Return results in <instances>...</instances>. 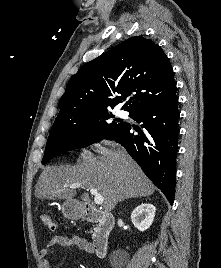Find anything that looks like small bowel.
I'll return each mask as SVG.
<instances>
[{
    "instance_id": "obj_1",
    "label": "small bowel",
    "mask_w": 221,
    "mask_h": 268,
    "mask_svg": "<svg viewBox=\"0 0 221 268\" xmlns=\"http://www.w3.org/2000/svg\"><path fill=\"white\" fill-rule=\"evenodd\" d=\"M55 247L80 249V250H84L85 252L89 254L94 252L92 244L87 239L81 236L54 235L46 244V246L43 247L39 252L42 268H52V265L48 256L51 250Z\"/></svg>"
}]
</instances>
